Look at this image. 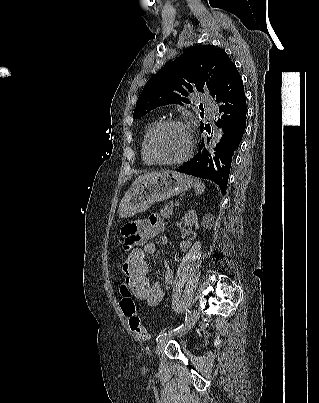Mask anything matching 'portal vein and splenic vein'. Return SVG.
I'll return each instance as SVG.
<instances>
[{"label": "portal vein and splenic vein", "mask_w": 319, "mask_h": 403, "mask_svg": "<svg viewBox=\"0 0 319 403\" xmlns=\"http://www.w3.org/2000/svg\"><path fill=\"white\" fill-rule=\"evenodd\" d=\"M170 205H171V206H173V205H174V202H173V201H171V202H170Z\"/></svg>", "instance_id": "obj_1"}]
</instances>
